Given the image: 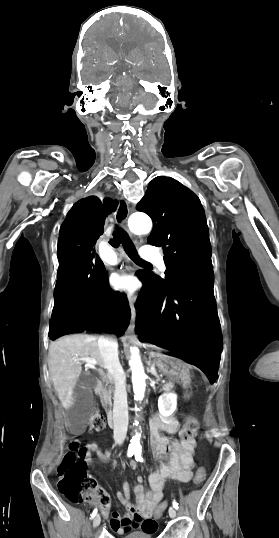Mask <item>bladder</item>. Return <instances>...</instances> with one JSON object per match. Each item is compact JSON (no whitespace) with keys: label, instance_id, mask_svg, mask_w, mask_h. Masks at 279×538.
I'll return each mask as SVG.
<instances>
[{"label":"bladder","instance_id":"bladder-1","mask_svg":"<svg viewBox=\"0 0 279 538\" xmlns=\"http://www.w3.org/2000/svg\"><path fill=\"white\" fill-rule=\"evenodd\" d=\"M125 538H154L152 532H127Z\"/></svg>","mask_w":279,"mask_h":538}]
</instances>
